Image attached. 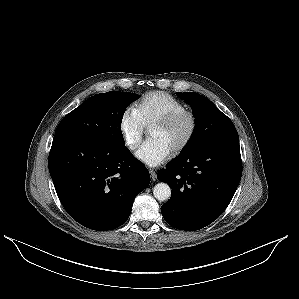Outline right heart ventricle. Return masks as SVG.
I'll list each match as a JSON object with an SVG mask.
<instances>
[{
  "label": "right heart ventricle",
  "mask_w": 299,
  "mask_h": 299,
  "mask_svg": "<svg viewBox=\"0 0 299 299\" xmlns=\"http://www.w3.org/2000/svg\"><path fill=\"white\" fill-rule=\"evenodd\" d=\"M136 111L146 128L171 115L186 111L185 105L172 95L154 91L145 94L137 103Z\"/></svg>",
  "instance_id": "right-heart-ventricle-1"
}]
</instances>
